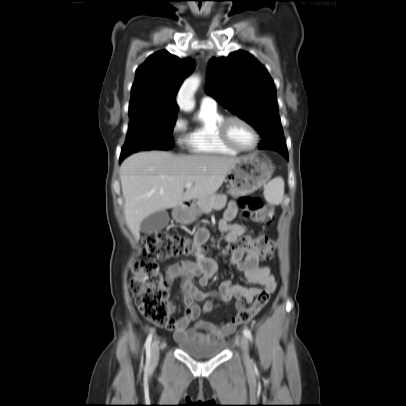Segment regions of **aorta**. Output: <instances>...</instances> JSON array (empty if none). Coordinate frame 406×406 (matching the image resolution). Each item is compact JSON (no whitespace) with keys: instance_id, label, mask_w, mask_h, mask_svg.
Segmentation results:
<instances>
[{"instance_id":"obj_1","label":"aorta","mask_w":406,"mask_h":406,"mask_svg":"<svg viewBox=\"0 0 406 406\" xmlns=\"http://www.w3.org/2000/svg\"><path fill=\"white\" fill-rule=\"evenodd\" d=\"M200 83L201 79L198 75H192L183 82L177 95V104L181 110L190 112L194 109V94Z\"/></svg>"}]
</instances>
